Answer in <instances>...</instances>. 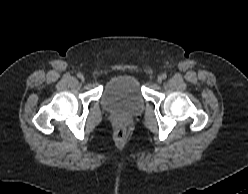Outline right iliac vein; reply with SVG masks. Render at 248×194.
Here are the masks:
<instances>
[{
    "mask_svg": "<svg viewBox=\"0 0 248 194\" xmlns=\"http://www.w3.org/2000/svg\"><path fill=\"white\" fill-rule=\"evenodd\" d=\"M81 80H82V81H84V80H85V78L82 76V77H81Z\"/></svg>",
    "mask_w": 248,
    "mask_h": 194,
    "instance_id": "63e3f726",
    "label": "right iliac vein"
}]
</instances>
